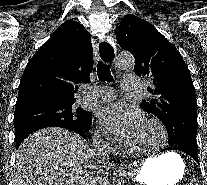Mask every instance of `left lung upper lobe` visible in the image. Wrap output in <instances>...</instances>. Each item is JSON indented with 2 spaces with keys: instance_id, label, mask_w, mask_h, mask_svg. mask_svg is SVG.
<instances>
[{
  "instance_id": "left-lung-upper-lobe-1",
  "label": "left lung upper lobe",
  "mask_w": 207,
  "mask_h": 185,
  "mask_svg": "<svg viewBox=\"0 0 207 185\" xmlns=\"http://www.w3.org/2000/svg\"><path fill=\"white\" fill-rule=\"evenodd\" d=\"M121 48L135 57L134 72L152 81L154 98L142 108L165 124L169 145L197 152V104L190 71L180 52L147 21L125 15L116 30Z\"/></svg>"
}]
</instances>
